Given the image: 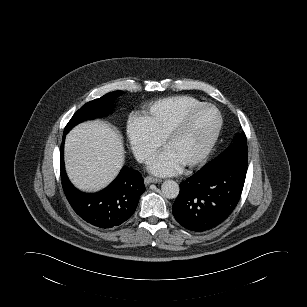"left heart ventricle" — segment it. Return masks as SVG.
Segmentation results:
<instances>
[{"label": "left heart ventricle", "instance_id": "1", "mask_svg": "<svg viewBox=\"0 0 307 307\" xmlns=\"http://www.w3.org/2000/svg\"><path fill=\"white\" fill-rule=\"evenodd\" d=\"M217 124L216 113L208 108L196 111L184 130L165 147L182 164L194 158L205 146Z\"/></svg>", "mask_w": 307, "mask_h": 307}]
</instances>
